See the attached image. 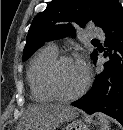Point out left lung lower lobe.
Segmentation results:
<instances>
[{"label": "left lung lower lobe", "mask_w": 123, "mask_h": 130, "mask_svg": "<svg viewBox=\"0 0 123 130\" xmlns=\"http://www.w3.org/2000/svg\"><path fill=\"white\" fill-rule=\"evenodd\" d=\"M104 32V56H108L110 60L104 63L103 72L96 76L84 98L72 103V106L88 114L105 113L123 125V8L119 10L113 24ZM92 59L95 64L97 54Z\"/></svg>", "instance_id": "0a47b994"}]
</instances>
